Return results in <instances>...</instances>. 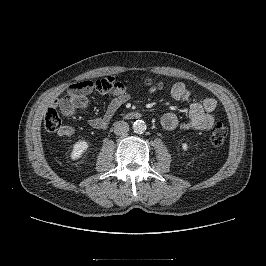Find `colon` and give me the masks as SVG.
Instances as JSON below:
<instances>
[{
  "label": "colon",
  "mask_w": 266,
  "mask_h": 266,
  "mask_svg": "<svg viewBox=\"0 0 266 266\" xmlns=\"http://www.w3.org/2000/svg\"><path fill=\"white\" fill-rule=\"evenodd\" d=\"M146 84L151 87H161L158 82H154L150 79L146 81ZM94 89L98 92L105 93L109 91H119L124 89L123 84L116 80L114 77L106 76L97 80H85L73 84L70 88V92L73 95H79L86 93L89 90ZM44 126L48 132H60L62 130L61 118L56 108H49L44 116ZM227 137V128L221 124H215L211 129L210 141L214 146H220L223 144Z\"/></svg>",
  "instance_id": "colon-1"
}]
</instances>
